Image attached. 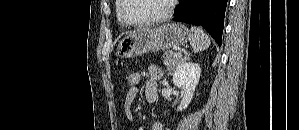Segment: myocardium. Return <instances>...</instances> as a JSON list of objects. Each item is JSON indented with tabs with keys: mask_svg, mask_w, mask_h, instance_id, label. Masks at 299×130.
Listing matches in <instances>:
<instances>
[{
	"mask_svg": "<svg viewBox=\"0 0 299 130\" xmlns=\"http://www.w3.org/2000/svg\"><path fill=\"white\" fill-rule=\"evenodd\" d=\"M127 2L128 0H121V7L119 11L121 20L126 25L131 27H147V26H152L167 21L173 14L176 0L169 1L168 8L166 12H164L162 15L145 21H132L126 16L125 9H126Z\"/></svg>",
	"mask_w": 299,
	"mask_h": 130,
	"instance_id": "f54148a6",
	"label": "myocardium"
}]
</instances>
